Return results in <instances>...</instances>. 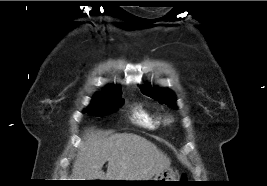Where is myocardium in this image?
Instances as JSON below:
<instances>
[{
    "label": "myocardium",
    "instance_id": "myocardium-1",
    "mask_svg": "<svg viewBox=\"0 0 267 186\" xmlns=\"http://www.w3.org/2000/svg\"><path fill=\"white\" fill-rule=\"evenodd\" d=\"M172 119H173V118H172L171 116H168V117L166 118V121H167V122H171Z\"/></svg>",
    "mask_w": 267,
    "mask_h": 186
}]
</instances>
